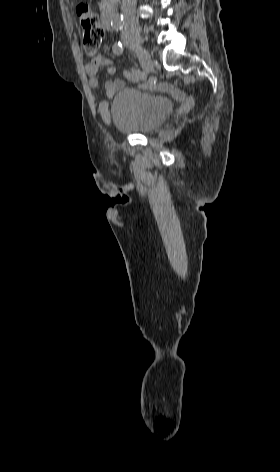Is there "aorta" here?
<instances>
[{"label": "aorta", "instance_id": "1", "mask_svg": "<svg viewBox=\"0 0 280 472\" xmlns=\"http://www.w3.org/2000/svg\"><path fill=\"white\" fill-rule=\"evenodd\" d=\"M123 22H124V16L122 14H117L113 18L112 25L114 27H120V26H122Z\"/></svg>", "mask_w": 280, "mask_h": 472}]
</instances>
